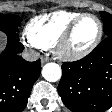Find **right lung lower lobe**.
Masks as SVG:
<instances>
[{
	"mask_svg": "<svg viewBox=\"0 0 112 112\" xmlns=\"http://www.w3.org/2000/svg\"><path fill=\"white\" fill-rule=\"evenodd\" d=\"M23 49L19 40L8 38L0 54V112H22L40 75V60H24L19 56Z\"/></svg>",
	"mask_w": 112,
	"mask_h": 112,
	"instance_id": "obj_1",
	"label": "right lung lower lobe"
}]
</instances>
